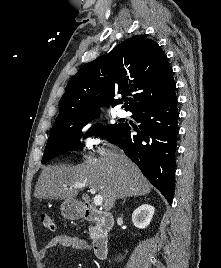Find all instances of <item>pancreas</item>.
Returning <instances> with one entry per match:
<instances>
[{
	"instance_id": "1",
	"label": "pancreas",
	"mask_w": 221,
	"mask_h": 268,
	"mask_svg": "<svg viewBox=\"0 0 221 268\" xmlns=\"http://www.w3.org/2000/svg\"><path fill=\"white\" fill-rule=\"evenodd\" d=\"M99 230V225L91 226L89 228V235L91 239H95Z\"/></svg>"
}]
</instances>
